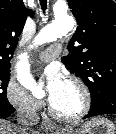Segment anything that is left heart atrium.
Masks as SVG:
<instances>
[{
	"mask_svg": "<svg viewBox=\"0 0 116 134\" xmlns=\"http://www.w3.org/2000/svg\"><path fill=\"white\" fill-rule=\"evenodd\" d=\"M47 101L52 105L62 95L66 82L59 70L55 67L47 68L43 73Z\"/></svg>",
	"mask_w": 116,
	"mask_h": 134,
	"instance_id": "obj_1",
	"label": "left heart atrium"
}]
</instances>
